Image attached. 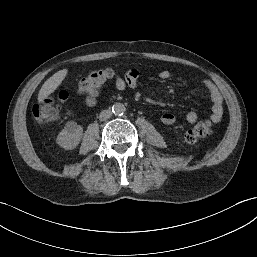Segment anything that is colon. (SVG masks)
Wrapping results in <instances>:
<instances>
[{"label":"colon","mask_w":257,"mask_h":257,"mask_svg":"<svg viewBox=\"0 0 257 257\" xmlns=\"http://www.w3.org/2000/svg\"><path fill=\"white\" fill-rule=\"evenodd\" d=\"M111 74L110 69H96L91 71L80 81L78 86L79 93L86 96L88 101L91 100L96 90L107 81ZM68 98L69 93L65 90L48 96L33 106V116L37 121L42 123L57 120L60 115L61 105L67 101ZM212 132V122L208 119H203L187 130L184 139L187 143H194L210 136Z\"/></svg>","instance_id":"colon-1"}]
</instances>
